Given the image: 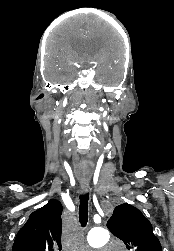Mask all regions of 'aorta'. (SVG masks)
<instances>
[{
  "label": "aorta",
  "instance_id": "aorta-1",
  "mask_svg": "<svg viewBox=\"0 0 174 251\" xmlns=\"http://www.w3.org/2000/svg\"><path fill=\"white\" fill-rule=\"evenodd\" d=\"M110 235L104 228H93L87 236L88 244L93 248H101L109 241Z\"/></svg>",
  "mask_w": 174,
  "mask_h": 251
}]
</instances>
